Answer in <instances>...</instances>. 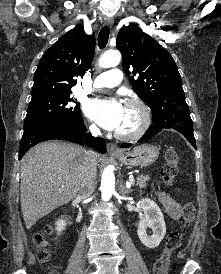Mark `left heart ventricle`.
<instances>
[{
  "mask_svg": "<svg viewBox=\"0 0 221 274\" xmlns=\"http://www.w3.org/2000/svg\"><path fill=\"white\" fill-rule=\"evenodd\" d=\"M140 123V114L135 107L125 106L121 124L117 130L119 131H132Z\"/></svg>",
  "mask_w": 221,
  "mask_h": 274,
  "instance_id": "b2bd125f",
  "label": "left heart ventricle"
}]
</instances>
